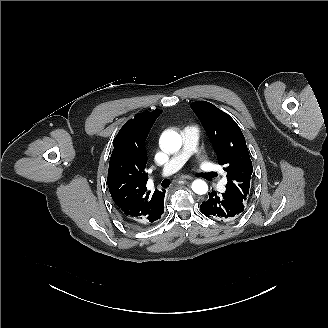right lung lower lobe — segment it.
I'll list each match as a JSON object with an SVG mask.
<instances>
[{
	"instance_id": "right-lung-lower-lobe-1",
	"label": "right lung lower lobe",
	"mask_w": 328,
	"mask_h": 328,
	"mask_svg": "<svg viewBox=\"0 0 328 328\" xmlns=\"http://www.w3.org/2000/svg\"><path fill=\"white\" fill-rule=\"evenodd\" d=\"M163 211H164V196H163V200H162V202H161V206H160V210H159V217H158V219L160 218V216L162 215V213H163ZM123 218V217H122ZM157 219V220H158ZM123 220H124V222H128L125 218H123ZM128 225H130V226H133V225H131V224H129V223H127Z\"/></svg>"
}]
</instances>
